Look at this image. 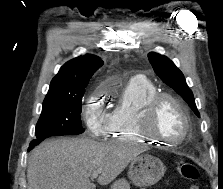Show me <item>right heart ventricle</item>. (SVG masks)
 Listing matches in <instances>:
<instances>
[{
    "mask_svg": "<svg viewBox=\"0 0 223 189\" xmlns=\"http://www.w3.org/2000/svg\"><path fill=\"white\" fill-rule=\"evenodd\" d=\"M157 88L145 78L129 81L123 88L118 103L106 118L105 135L109 139L125 142H143L137 127V114Z\"/></svg>",
    "mask_w": 223,
    "mask_h": 189,
    "instance_id": "e07e8e85",
    "label": "right heart ventricle"
}]
</instances>
